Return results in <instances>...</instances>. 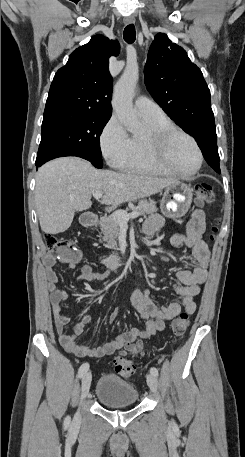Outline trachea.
Instances as JSON below:
<instances>
[{
	"mask_svg": "<svg viewBox=\"0 0 245 457\" xmlns=\"http://www.w3.org/2000/svg\"><path fill=\"white\" fill-rule=\"evenodd\" d=\"M124 40L127 43H133L136 39V31L133 24L127 25L123 32Z\"/></svg>",
	"mask_w": 245,
	"mask_h": 457,
	"instance_id": "3493384b",
	"label": "trachea"
}]
</instances>
